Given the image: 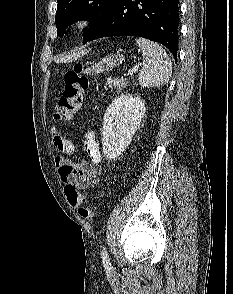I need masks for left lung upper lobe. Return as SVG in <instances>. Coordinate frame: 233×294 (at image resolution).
I'll return each instance as SVG.
<instances>
[{
	"instance_id": "1",
	"label": "left lung upper lobe",
	"mask_w": 233,
	"mask_h": 294,
	"mask_svg": "<svg viewBox=\"0 0 233 294\" xmlns=\"http://www.w3.org/2000/svg\"><path fill=\"white\" fill-rule=\"evenodd\" d=\"M113 2L114 0H57L55 15L57 35L63 36L66 28L75 21L88 19L90 27L83 32V43H86L105 18Z\"/></svg>"
}]
</instances>
